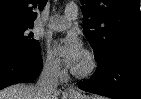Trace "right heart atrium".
<instances>
[{"mask_svg":"<svg viewBox=\"0 0 141 99\" xmlns=\"http://www.w3.org/2000/svg\"><path fill=\"white\" fill-rule=\"evenodd\" d=\"M42 68L50 76H59L62 73L60 60L50 50H46L43 54Z\"/></svg>","mask_w":141,"mask_h":99,"instance_id":"1","label":"right heart atrium"}]
</instances>
